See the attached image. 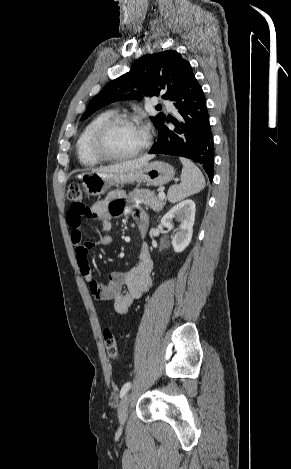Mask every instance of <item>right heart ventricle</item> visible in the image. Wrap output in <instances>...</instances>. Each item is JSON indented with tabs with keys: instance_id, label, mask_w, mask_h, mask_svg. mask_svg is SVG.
Listing matches in <instances>:
<instances>
[{
	"instance_id": "1",
	"label": "right heart ventricle",
	"mask_w": 291,
	"mask_h": 469,
	"mask_svg": "<svg viewBox=\"0 0 291 469\" xmlns=\"http://www.w3.org/2000/svg\"><path fill=\"white\" fill-rule=\"evenodd\" d=\"M113 115H115L114 110H105L93 117L81 131L76 142V153L83 166L93 167L103 162L94 151L93 137L97 128Z\"/></svg>"
}]
</instances>
